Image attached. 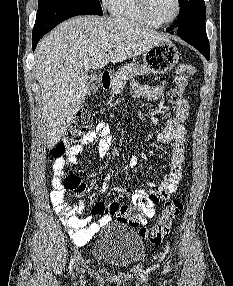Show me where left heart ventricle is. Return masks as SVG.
Here are the masks:
<instances>
[{
	"label": "left heart ventricle",
	"mask_w": 233,
	"mask_h": 286,
	"mask_svg": "<svg viewBox=\"0 0 233 286\" xmlns=\"http://www.w3.org/2000/svg\"><path fill=\"white\" fill-rule=\"evenodd\" d=\"M152 18L159 22L171 19L176 12L175 0H148Z\"/></svg>",
	"instance_id": "b2bd125f"
}]
</instances>
